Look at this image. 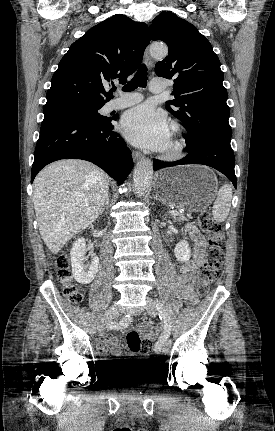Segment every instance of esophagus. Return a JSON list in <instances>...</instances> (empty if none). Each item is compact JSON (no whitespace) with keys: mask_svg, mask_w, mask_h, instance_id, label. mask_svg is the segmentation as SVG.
Wrapping results in <instances>:
<instances>
[{"mask_svg":"<svg viewBox=\"0 0 275 431\" xmlns=\"http://www.w3.org/2000/svg\"><path fill=\"white\" fill-rule=\"evenodd\" d=\"M144 56H145V60H146L147 66L149 68H152L153 64H154V61H153V59H152V57L150 55L149 47L146 48ZM132 156H133V160L137 161L138 159H140L142 157V154L140 152H138V151H134L133 154H132Z\"/></svg>","mask_w":275,"mask_h":431,"instance_id":"34e87169","label":"esophagus"}]
</instances>
